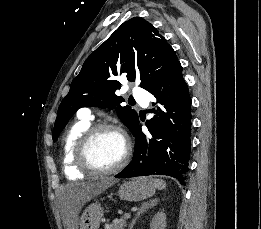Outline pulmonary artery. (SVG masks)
<instances>
[{
  "mask_svg": "<svg viewBox=\"0 0 261 229\" xmlns=\"http://www.w3.org/2000/svg\"><path fill=\"white\" fill-rule=\"evenodd\" d=\"M136 88L138 87L137 85L135 86ZM132 93L135 95L136 99H140L136 101L137 105H140V108L143 109L144 111L147 108V105H149V96H150V91H147V89H133ZM83 116L93 119V109L91 107H85L81 109Z\"/></svg>",
  "mask_w": 261,
  "mask_h": 229,
  "instance_id": "e3ab8cb5",
  "label": "pulmonary artery"
}]
</instances>
